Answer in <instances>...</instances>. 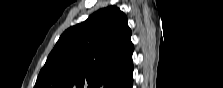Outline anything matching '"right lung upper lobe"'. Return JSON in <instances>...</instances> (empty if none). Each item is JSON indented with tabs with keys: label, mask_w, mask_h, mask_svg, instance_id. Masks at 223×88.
Instances as JSON below:
<instances>
[{
	"label": "right lung upper lobe",
	"mask_w": 223,
	"mask_h": 88,
	"mask_svg": "<svg viewBox=\"0 0 223 88\" xmlns=\"http://www.w3.org/2000/svg\"><path fill=\"white\" fill-rule=\"evenodd\" d=\"M133 50L126 15L115 6L100 9L61 35L35 88H125Z\"/></svg>",
	"instance_id": "1"
}]
</instances>
